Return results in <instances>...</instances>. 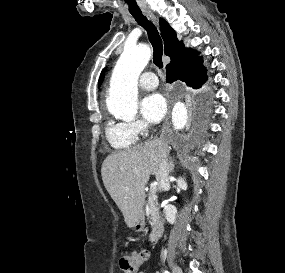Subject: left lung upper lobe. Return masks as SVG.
Masks as SVG:
<instances>
[{"label": "left lung upper lobe", "instance_id": "5c2ea615", "mask_svg": "<svg viewBox=\"0 0 285 273\" xmlns=\"http://www.w3.org/2000/svg\"><path fill=\"white\" fill-rule=\"evenodd\" d=\"M102 80H103V72H102L101 77H100V79H99V86H100Z\"/></svg>", "mask_w": 285, "mask_h": 273}]
</instances>
